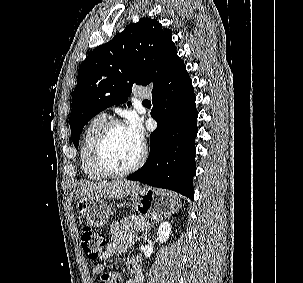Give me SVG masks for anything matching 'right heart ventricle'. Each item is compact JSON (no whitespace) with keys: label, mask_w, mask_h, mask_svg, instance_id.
Here are the masks:
<instances>
[{"label":"right heart ventricle","mask_w":303,"mask_h":283,"mask_svg":"<svg viewBox=\"0 0 303 283\" xmlns=\"http://www.w3.org/2000/svg\"><path fill=\"white\" fill-rule=\"evenodd\" d=\"M107 122L106 115L101 113L93 117L86 126L80 145V164L84 175L92 181H101L106 178L94 165L92 148L97 134Z\"/></svg>","instance_id":"e07e8e85"}]
</instances>
